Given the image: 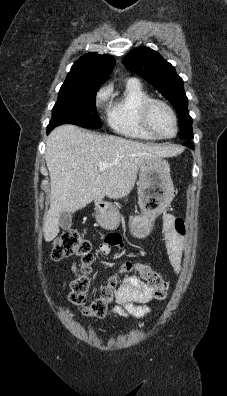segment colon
<instances>
[{
  "instance_id": "colon-1",
  "label": "colon",
  "mask_w": 227,
  "mask_h": 396,
  "mask_svg": "<svg viewBox=\"0 0 227 396\" xmlns=\"http://www.w3.org/2000/svg\"><path fill=\"white\" fill-rule=\"evenodd\" d=\"M71 256L79 258L81 273L71 283L70 301L79 307L82 314L86 317H103L115 299V290L118 286L117 279L115 277L111 278L108 284L101 289L99 296L87 305V292L90 286L88 275L94 262V254L90 241L74 231L67 232L58 238L51 250V257L54 260H61ZM124 270L137 272L153 288L155 299L161 301L167 297L168 283L148 264L126 262Z\"/></svg>"
}]
</instances>
